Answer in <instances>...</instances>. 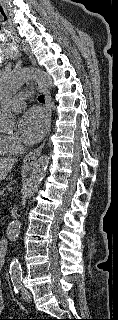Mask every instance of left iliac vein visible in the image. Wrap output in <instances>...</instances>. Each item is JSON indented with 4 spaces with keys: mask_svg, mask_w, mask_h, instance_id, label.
Listing matches in <instances>:
<instances>
[{
    "mask_svg": "<svg viewBox=\"0 0 118 320\" xmlns=\"http://www.w3.org/2000/svg\"><path fill=\"white\" fill-rule=\"evenodd\" d=\"M21 294L25 302L30 303L32 301L30 292L24 286H21Z\"/></svg>",
    "mask_w": 118,
    "mask_h": 320,
    "instance_id": "1",
    "label": "left iliac vein"
}]
</instances>
